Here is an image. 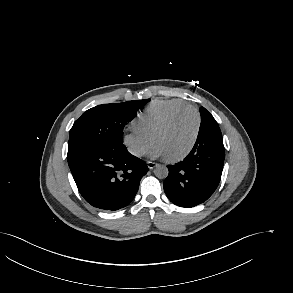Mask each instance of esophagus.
Returning <instances> with one entry per match:
<instances>
[{
  "label": "esophagus",
  "instance_id": "obj_1",
  "mask_svg": "<svg viewBox=\"0 0 293 293\" xmlns=\"http://www.w3.org/2000/svg\"><path fill=\"white\" fill-rule=\"evenodd\" d=\"M147 166L150 170H152L157 166V163L149 161V162H147Z\"/></svg>",
  "mask_w": 293,
  "mask_h": 293
}]
</instances>
